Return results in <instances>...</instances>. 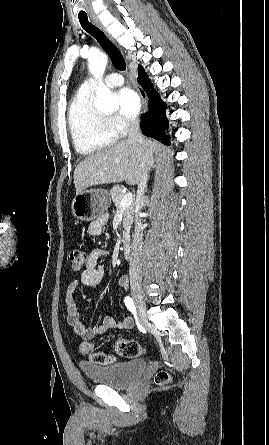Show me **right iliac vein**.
Masks as SVG:
<instances>
[{
  "label": "right iliac vein",
  "mask_w": 269,
  "mask_h": 445,
  "mask_svg": "<svg viewBox=\"0 0 269 445\" xmlns=\"http://www.w3.org/2000/svg\"><path fill=\"white\" fill-rule=\"evenodd\" d=\"M132 298L134 300L139 319L142 324H147V318L145 313V301L142 296L141 290L138 287L132 289Z\"/></svg>",
  "instance_id": "obj_1"
}]
</instances>
